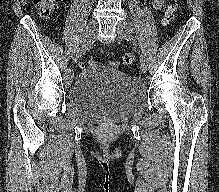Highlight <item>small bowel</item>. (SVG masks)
<instances>
[{
    "instance_id": "small-bowel-1",
    "label": "small bowel",
    "mask_w": 219,
    "mask_h": 192,
    "mask_svg": "<svg viewBox=\"0 0 219 192\" xmlns=\"http://www.w3.org/2000/svg\"><path fill=\"white\" fill-rule=\"evenodd\" d=\"M152 5L155 9L160 10L164 6V0H152Z\"/></svg>"
}]
</instances>
